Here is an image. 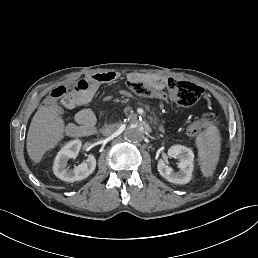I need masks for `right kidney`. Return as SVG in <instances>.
Instances as JSON below:
<instances>
[{
	"label": "right kidney",
	"mask_w": 258,
	"mask_h": 258,
	"mask_svg": "<svg viewBox=\"0 0 258 258\" xmlns=\"http://www.w3.org/2000/svg\"><path fill=\"white\" fill-rule=\"evenodd\" d=\"M81 146V140L76 139L61 148L53 164V172L56 177L63 181L75 182L83 180L93 173L96 167V159L93 155H89L85 162L74 167V169L67 168L68 160L77 157Z\"/></svg>",
	"instance_id": "1"
}]
</instances>
